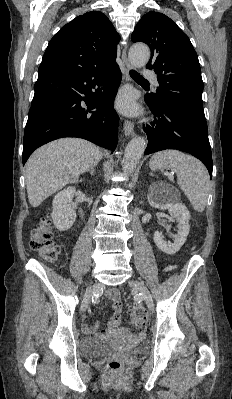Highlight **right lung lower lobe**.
Masks as SVG:
<instances>
[{
	"label": "right lung lower lobe",
	"mask_w": 232,
	"mask_h": 399,
	"mask_svg": "<svg viewBox=\"0 0 232 399\" xmlns=\"http://www.w3.org/2000/svg\"><path fill=\"white\" fill-rule=\"evenodd\" d=\"M120 81L116 62L89 70L39 73L24 131L23 164L35 149L62 137L115 150L119 116L113 104Z\"/></svg>",
	"instance_id": "right-lung-lower-lobe-1"
}]
</instances>
